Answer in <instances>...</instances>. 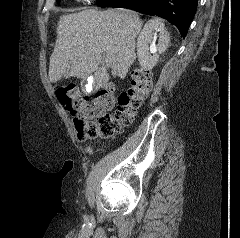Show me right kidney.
Returning <instances> with one entry per match:
<instances>
[{
    "label": "right kidney",
    "instance_id": "right-kidney-1",
    "mask_svg": "<svg viewBox=\"0 0 240 238\" xmlns=\"http://www.w3.org/2000/svg\"><path fill=\"white\" fill-rule=\"evenodd\" d=\"M159 32L157 47H151L150 52L148 50V44L152 40V32ZM170 37L167 32L164 23L161 19L154 18L149 20L137 39V55L138 61L141 67L146 70H151L158 62L159 55L164 53L169 45ZM158 51V54L156 53Z\"/></svg>",
    "mask_w": 240,
    "mask_h": 238
}]
</instances>
